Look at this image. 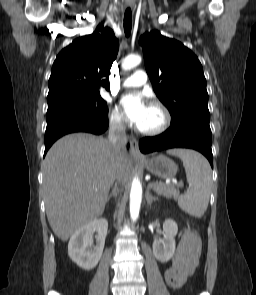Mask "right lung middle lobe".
Wrapping results in <instances>:
<instances>
[{
    "instance_id": "dd1d6c3e",
    "label": "right lung middle lobe",
    "mask_w": 256,
    "mask_h": 295,
    "mask_svg": "<svg viewBox=\"0 0 256 295\" xmlns=\"http://www.w3.org/2000/svg\"><path fill=\"white\" fill-rule=\"evenodd\" d=\"M52 111H76L101 114L108 112V107L100 94H67L53 100H48L47 112Z\"/></svg>"
}]
</instances>
